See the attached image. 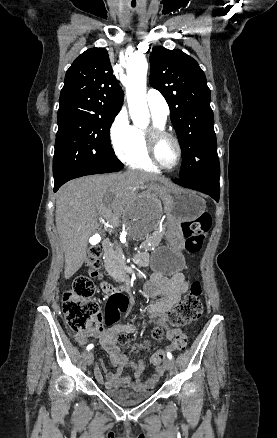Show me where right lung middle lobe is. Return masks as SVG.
I'll return each mask as SVG.
<instances>
[{
  "label": "right lung middle lobe",
  "mask_w": 277,
  "mask_h": 438,
  "mask_svg": "<svg viewBox=\"0 0 277 438\" xmlns=\"http://www.w3.org/2000/svg\"><path fill=\"white\" fill-rule=\"evenodd\" d=\"M113 121L114 117H58L53 158L54 181L79 172L123 168L110 143V127Z\"/></svg>",
  "instance_id": "dd1d6c3e"
}]
</instances>
